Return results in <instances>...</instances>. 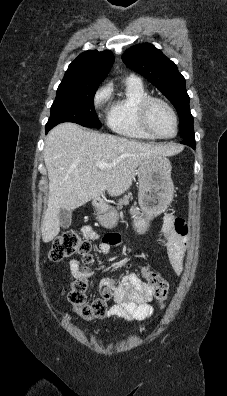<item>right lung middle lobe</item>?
I'll return each instance as SVG.
<instances>
[{
    "label": "right lung middle lobe",
    "mask_w": 227,
    "mask_h": 396,
    "mask_svg": "<svg viewBox=\"0 0 227 396\" xmlns=\"http://www.w3.org/2000/svg\"><path fill=\"white\" fill-rule=\"evenodd\" d=\"M98 86L99 83L62 81L46 125L74 122L84 127L100 128L101 123L94 109V95Z\"/></svg>",
    "instance_id": "1"
}]
</instances>
